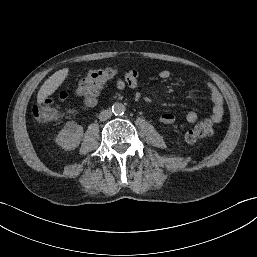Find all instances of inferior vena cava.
I'll use <instances>...</instances> for the list:
<instances>
[{
  "label": "inferior vena cava",
  "instance_id": "602c4592",
  "mask_svg": "<svg viewBox=\"0 0 257 257\" xmlns=\"http://www.w3.org/2000/svg\"><path fill=\"white\" fill-rule=\"evenodd\" d=\"M111 116H112L111 110H102L99 114V119L100 121H105L111 118Z\"/></svg>",
  "mask_w": 257,
  "mask_h": 257
}]
</instances>
